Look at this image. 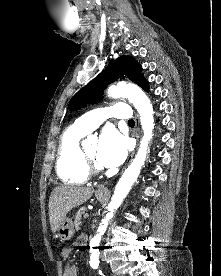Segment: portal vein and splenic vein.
<instances>
[{
    "label": "portal vein and splenic vein",
    "mask_w": 221,
    "mask_h": 276,
    "mask_svg": "<svg viewBox=\"0 0 221 276\" xmlns=\"http://www.w3.org/2000/svg\"><path fill=\"white\" fill-rule=\"evenodd\" d=\"M84 217H85V218H88V217H89V214H88V213H86V214L84 215Z\"/></svg>",
    "instance_id": "portal-vein-and-splenic-vein-1"
}]
</instances>
